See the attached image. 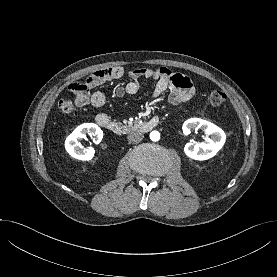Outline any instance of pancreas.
I'll return each instance as SVG.
<instances>
[{
  "label": "pancreas",
  "mask_w": 277,
  "mask_h": 277,
  "mask_svg": "<svg viewBox=\"0 0 277 277\" xmlns=\"http://www.w3.org/2000/svg\"><path fill=\"white\" fill-rule=\"evenodd\" d=\"M141 124H139L138 121H134L133 123H129L128 126L126 127H129L131 130H136V129H140L141 128Z\"/></svg>",
  "instance_id": "obj_1"
}]
</instances>
